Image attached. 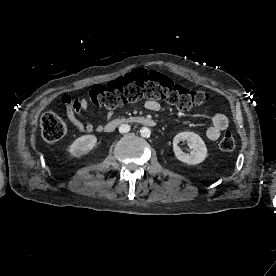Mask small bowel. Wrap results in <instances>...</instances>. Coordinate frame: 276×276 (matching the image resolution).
<instances>
[{"mask_svg":"<svg viewBox=\"0 0 276 276\" xmlns=\"http://www.w3.org/2000/svg\"><path fill=\"white\" fill-rule=\"evenodd\" d=\"M66 109L69 122L80 132L91 133L95 130L100 131L101 126H94L92 123L83 120V115L88 111L89 104L85 98L71 97L64 95L61 99ZM145 107L150 111H159L160 104L155 100L145 102ZM113 112L111 111L109 115ZM229 126V120L223 113H216L212 116L211 126L207 129L206 135L211 141H215L220 134Z\"/></svg>","mask_w":276,"mask_h":276,"instance_id":"obj_1","label":"small bowel"}]
</instances>
